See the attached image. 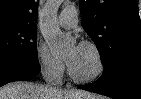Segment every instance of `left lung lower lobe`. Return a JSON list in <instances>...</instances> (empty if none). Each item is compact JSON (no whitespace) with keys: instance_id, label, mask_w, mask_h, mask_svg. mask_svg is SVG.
<instances>
[{"instance_id":"obj_1","label":"left lung lower lobe","mask_w":141,"mask_h":99,"mask_svg":"<svg viewBox=\"0 0 141 99\" xmlns=\"http://www.w3.org/2000/svg\"><path fill=\"white\" fill-rule=\"evenodd\" d=\"M78 88L114 99H141V58L120 59L97 81Z\"/></svg>"}]
</instances>
